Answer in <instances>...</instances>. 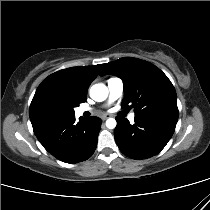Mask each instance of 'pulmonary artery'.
<instances>
[{
  "mask_svg": "<svg viewBox=\"0 0 210 210\" xmlns=\"http://www.w3.org/2000/svg\"><path fill=\"white\" fill-rule=\"evenodd\" d=\"M107 87H108L110 101H114L118 99L122 95L123 89H124L123 81L117 77L108 79ZM90 110L91 108L89 107H80L77 112L78 114L81 115ZM134 118H135V115L133 113L129 115L130 121H133Z\"/></svg>",
  "mask_w": 210,
  "mask_h": 210,
  "instance_id": "pulmonary-artery-1",
  "label": "pulmonary artery"
}]
</instances>
